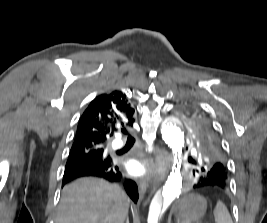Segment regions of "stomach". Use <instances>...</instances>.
<instances>
[{
	"label": "stomach",
	"instance_id": "obj_1",
	"mask_svg": "<svg viewBox=\"0 0 267 223\" xmlns=\"http://www.w3.org/2000/svg\"><path fill=\"white\" fill-rule=\"evenodd\" d=\"M207 201L198 194L186 195L178 205L177 218L181 223H194L206 213Z\"/></svg>",
	"mask_w": 267,
	"mask_h": 223
}]
</instances>
